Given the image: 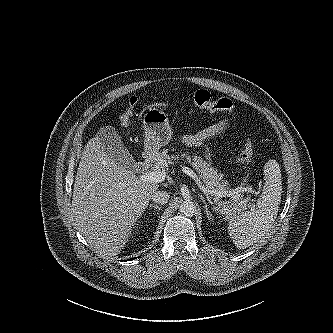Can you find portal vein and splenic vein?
<instances>
[{
	"mask_svg": "<svg viewBox=\"0 0 333 333\" xmlns=\"http://www.w3.org/2000/svg\"><path fill=\"white\" fill-rule=\"evenodd\" d=\"M181 170L189 175L194 181L195 183L198 185V187L200 188V190L207 195H211V196H215L214 202H217L219 197H222V193L221 192H216L213 190H209L200 180V178L198 177V175L189 167L187 166H182L181 165ZM166 170L165 169H159L156 171H150V172H146L142 175H140V180L141 181H147V182H151V183H160L162 181L165 180L166 177ZM249 192V193H254V190L251 187H238L236 189H233L232 191L229 192V196H232L233 199H239L240 198V193L241 192ZM247 205H246V201H241L238 204V207L233 208V210L239 211V208H245L246 209Z\"/></svg>",
	"mask_w": 333,
	"mask_h": 333,
	"instance_id": "18ae733b",
	"label": "portal vein and splenic vein"
}]
</instances>
